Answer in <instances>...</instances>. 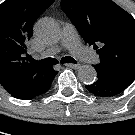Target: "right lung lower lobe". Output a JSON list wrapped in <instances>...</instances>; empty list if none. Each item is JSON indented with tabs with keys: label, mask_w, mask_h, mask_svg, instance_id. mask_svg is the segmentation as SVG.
I'll return each instance as SVG.
<instances>
[{
	"label": "right lung lower lobe",
	"mask_w": 135,
	"mask_h": 135,
	"mask_svg": "<svg viewBox=\"0 0 135 135\" xmlns=\"http://www.w3.org/2000/svg\"><path fill=\"white\" fill-rule=\"evenodd\" d=\"M56 74L57 71H55L51 67L47 76H45L42 80L28 81V86L24 87L23 89L9 93L13 97L21 100H30L36 98L50 89L52 80L54 79Z\"/></svg>",
	"instance_id": "right-lung-lower-lobe-1"
}]
</instances>
